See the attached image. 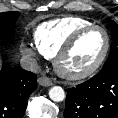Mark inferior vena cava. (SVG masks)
Here are the masks:
<instances>
[{
  "instance_id": "inferior-vena-cava-1",
  "label": "inferior vena cava",
  "mask_w": 118,
  "mask_h": 118,
  "mask_svg": "<svg viewBox=\"0 0 118 118\" xmlns=\"http://www.w3.org/2000/svg\"><path fill=\"white\" fill-rule=\"evenodd\" d=\"M21 67L25 70H29L32 72L38 71V63L33 57H22L20 60Z\"/></svg>"
}]
</instances>
